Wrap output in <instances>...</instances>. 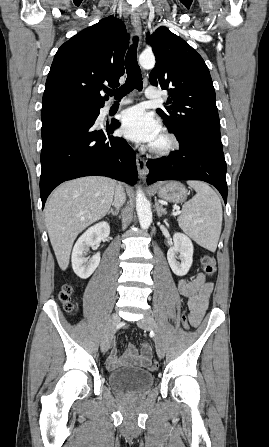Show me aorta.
Here are the masks:
<instances>
[{
    "instance_id": "762f6f07",
    "label": "aorta",
    "mask_w": 269,
    "mask_h": 447,
    "mask_svg": "<svg viewBox=\"0 0 269 447\" xmlns=\"http://www.w3.org/2000/svg\"><path fill=\"white\" fill-rule=\"evenodd\" d=\"M139 64L142 68H145V70H152L155 66L154 54H150V52H142L139 56ZM136 210L139 224L142 229H148L149 225L152 224V212L150 204L140 188L136 196Z\"/></svg>"
}]
</instances>
